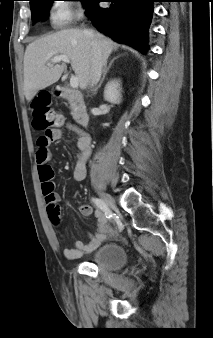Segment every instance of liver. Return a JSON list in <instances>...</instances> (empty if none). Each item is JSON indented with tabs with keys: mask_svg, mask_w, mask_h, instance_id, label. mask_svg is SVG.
<instances>
[{
	"mask_svg": "<svg viewBox=\"0 0 213 338\" xmlns=\"http://www.w3.org/2000/svg\"><path fill=\"white\" fill-rule=\"evenodd\" d=\"M92 32L98 41L102 54L108 58L118 45L100 33ZM65 55L71 61L81 89L90 83L92 67L91 38L86 30L66 29L46 35L30 43L24 55V94L32 100L39 90L54 83L61 77L65 66L46 64L55 56Z\"/></svg>",
	"mask_w": 213,
	"mask_h": 338,
	"instance_id": "6515ba94",
	"label": "liver"
}]
</instances>
